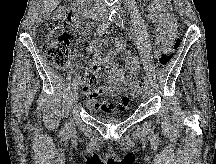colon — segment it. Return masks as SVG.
<instances>
[{"instance_id": "1", "label": "colon", "mask_w": 216, "mask_h": 164, "mask_svg": "<svg viewBox=\"0 0 216 164\" xmlns=\"http://www.w3.org/2000/svg\"><path fill=\"white\" fill-rule=\"evenodd\" d=\"M74 23V18L68 8L60 7L49 20L47 27V40L42 47V53L46 60L59 69H65L70 59V40L68 32ZM180 46V37L176 24L168 33L166 47L159 57V65H168L174 57L175 51ZM78 79L84 87H93L98 80V72L95 69L80 70ZM142 90L141 80H136L131 95L136 97Z\"/></svg>"}]
</instances>
